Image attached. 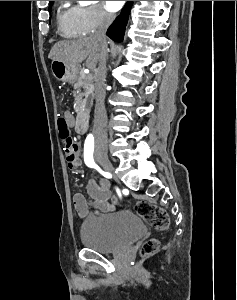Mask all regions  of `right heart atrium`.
I'll return each instance as SVG.
<instances>
[{
  "label": "right heart atrium",
  "instance_id": "1",
  "mask_svg": "<svg viewBox=\"0 0 237 300\" xmlns=\"http://www.w3.org/2000/svg\"><path fill=\"white\" fill-rule=\"evenodd\" d=\"M78 27L82 34H89L97 28L107 26L114 20V15L100 3L77 7Z\"/></svg>",
  "mask_w": 237,
  "mask_h": 300
}]
</instances>
